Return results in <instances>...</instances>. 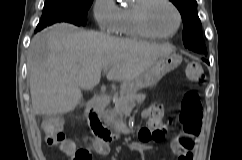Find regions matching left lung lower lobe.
Here are the masks:
<instances>
[{
  "mask_svg": "<svg viewBox=\"0 0 242 160\" xmlns=\"http://www.w3.org/2000/svg\"><path fill=\"white\" fill-rule=\"evenodd\" d=\"M200 55H201V54H200ZM201 57L203 58V60L207 61V60L205 59V55H201Z\"/></svg>",
  "mask_w": 242,
  "mask_h": 160,
  "instance_id": "obj_1",
  "label": "left lung lower lobe"
}]
</instances>
